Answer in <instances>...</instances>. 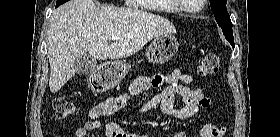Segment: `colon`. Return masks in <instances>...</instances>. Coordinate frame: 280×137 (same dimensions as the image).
Listing matches in <instances>:
<instances>
[{
    "mask_svg": "<svg viewBox=\"0 0 280 137\" xmlns=\"http://www.w3.org/2000/svg\"><path fill=\"white\" fill-rule=\"evenodd\" d=\"M220 69V58L216 53L206 54L198 65V73L202 77H211L216 75ZM122 97L125 100L130 99L129 94H123ZM53 109L55 115L59 119H66L70 117L75 109L72 102L64 97H57L53 100ZM226 133L225 127H208L204 129L201 136L202 137H224Z\"/></svg>",
    "mask_w": 280,
    "mask_h": 137,
    "instance_id": "5ec220e1",
    "label": "colon"
}]
</instances>
